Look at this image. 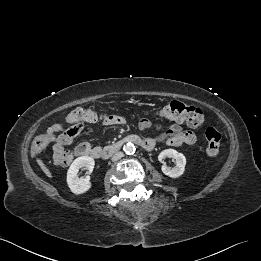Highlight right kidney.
<instances>
[{
    "label": "right kidney",
    "mask_w": 261,
    "mask_h": 261,
    "mask_svg": "<svg viewBox=\"0 0 261 261\" xmlns=\"http://www.w3.org/2000/svg\"><path fill=\"white\" fill-rule=\"evenodd\" d=\"M94 165L95 161L90 156L78 157L73 161L67 172V183L74 194H83L91 188L90 176L78 178L77 174L82 167H86L88 172L91 173Z\"/></svg>",
    "instance_id": "right-kidney-1"
}]
</instances>
